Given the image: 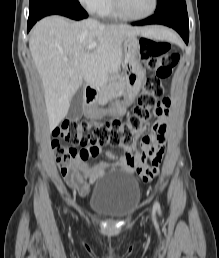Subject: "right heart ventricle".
<instances>
[{
  "label": "right heart ventricle",
  "instance_id": "right-heart-ventricle-1",
  "mask_svg": "<svg viewBox=\"0 0 219 258\" xmlns=\"http://www.w3.org/2000/svg\"><path fill=\"white\" fill-rule=\"evenodd\" d=\"M99 14L103 17H109V18H113V17L117 16V14H116V12L113 8L112 0H106L105 1V4L103 5L101 10L99 11Z\"/></svg>",
  "mask_w": 219,
  "mask_h": 258
}]
</instances>
